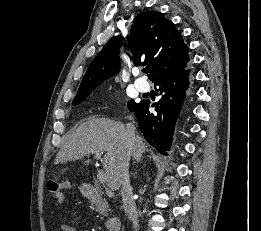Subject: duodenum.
Returning a JSON list of instances; mask_svg holds the SVG:
<instances>
[{
    "mask_svg": "<svg viewBox=\"0 0 261 231\" xmlns=\"http://www.w3.org/2000/svg\"><path fill=\"white\" fill-rule=\"evenodd\" d=\"M79 190L82 195L89 199L97 198V189L93 185H80ZM121 226V221L116 216H111L108 219L107 227L110 231H119Z\"/></svg>",
    "mask_w": 261,
    "mask_h": 231,
    "instance_id": "duodenum-1",
    "label": "duodenum"
}]
</instances>
